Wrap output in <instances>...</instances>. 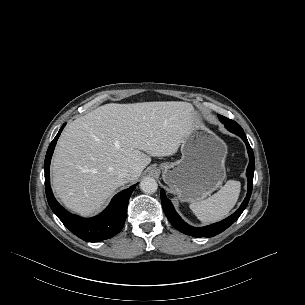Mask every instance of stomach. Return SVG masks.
I'll return each instance as SVG.
<instances>
[{"label": "stomach", "mask_w": 305, "mask_h": 305, "mask_svg": "<svg viewBox=\"0 0 305 305\" xmlns=\"http://www.w3.org/2000/svg\"><path fill=\"white\" fill-rule=\"evenodd\" d=\"M181 141L180 160L160 165L164 182L183 202H198L211 195L226 177L227 146L198 120Z\"/></svg>", "instance_id": "stomach-1"}]
</instances>
